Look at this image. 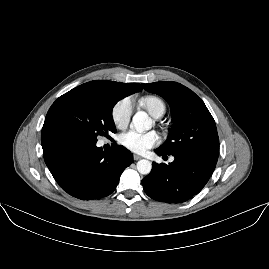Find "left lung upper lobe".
I'll list each match as a JSON object with an SVG mask.
<instances>
[{"label": "left lung upper lobe", "mask_w": 269, "mask_h": 269, "mask_svg": "<svg viewBox=\"0 0 269 269\" xmlns=\"http://www.w3.org/2000/svg\"><path fill=\"white\" fill-rule=\"evenodd\" d=\"M145 90L163 97L171 106L173 125L159 148L217 163L219 138L215 121L204 102L189 88L177 82L142 84Z\"/></svg>", "instance_id": "obj_1"}]
</instances>
